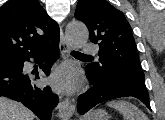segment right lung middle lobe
Segmentation results:
<instances>
[{"label":"right lung middle lobe","mask_w":165,"mask_h":120,"mask_svg":"<svg viewBox=\"0 0 165 120\" xmlns=\"http://www.w3.org/2000/svg\"><path fill=\"white\" fill-rule=\"evenodd\" d=\"M8 64H9V63L0 64V67L6 66V65H8Z\"/></svg>","instance_id":"obj_1"}]
</instances>
